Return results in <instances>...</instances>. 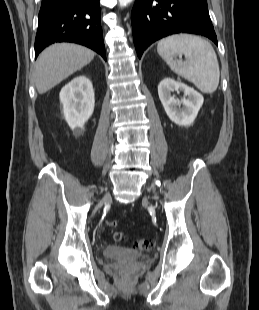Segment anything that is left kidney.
Masks as SVG:
<instances>
[{
    "instance_id": "obj_1",
    "label": "left kidney",
    "mask_w": 259,
    "mask_h": 310,
    "mask_svg": "<svg viewBox=\"0 0 259 310\" xmlns=\"http://www.w3.org/2000/svg\"><path fill=\"white\" fill-rule=\"evenodd\" d=\"M173 91H183L184 97L176 99L171 95ZM158 95L167 116L179 126L193 124L204 102L199 92L171 78H165L159 83Z\"/></svg>"
}]
</instances>
